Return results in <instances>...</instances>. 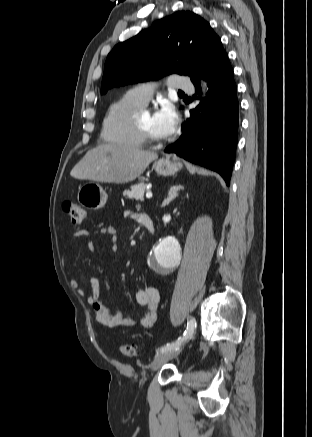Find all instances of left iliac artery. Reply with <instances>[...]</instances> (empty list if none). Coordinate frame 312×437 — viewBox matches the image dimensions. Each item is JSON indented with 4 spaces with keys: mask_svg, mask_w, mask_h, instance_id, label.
Here are the masks:
<instances>
[{
    "mask_svg": "<svg viewBox=\"0 0 312 437\" xmlns=\"http://www.w3.org/2000/svg\"><path fill=\"white\" fill-rule=\"evenodd\" d=\"M195 327H196L195 319L189 320L187 323V328L184 331L183 335L181 337H179L176 341H174L172 343H167L166 345L162 346L158 351L160 353H163V352L168 351L170 349L179 347L184 340L191 338V336L193 335Z\"/></svg>",
    "mask_w": 312,
    "mask_h": 437,
    "instance_id": "left-iliac-artery-1",
    "label": "left iliac artery"
}]
</instances>
